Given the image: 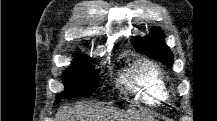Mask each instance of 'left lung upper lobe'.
<instances>
[{"mask_svg":"<svg viewBox=\"0 0 217 121\" xmlns=\"http://www.w3.org/2000/svg\"><path fill=\"white\" fill-rule=\"evenodd\" d=\"M138 51L146 52L152 58L172 67L174 58L171 50L164 42V34L159 28H154L150 36L136 37L132 39Z\"/></svg>","mask_w":217,"mask_h":121,"instance_id":"5c2ea615","label":"left lung upper lobe"}]
</instances>
